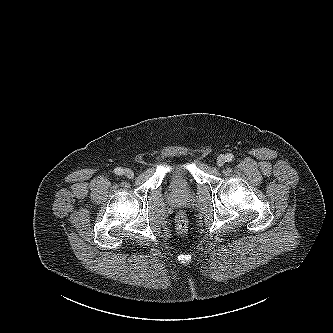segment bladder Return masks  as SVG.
I'll use <instances>...</instances> for the list:
<instances>
[{
  "instance_id": "31cf9c89",
  "label": "bladder",
  "mask_w": 333,
  "mask_h": 333,
  "mask_svg": "<svg viewBox=\"0 0 333 333\" xmlns=\"http://www.w3.org/2000/svg\"><path fill=\"white\" fill-rule=\"evenodd\" d=\"M189 177V171L185 167L177 166L172 173V186L176 189L184 188Z\"/></svg>"
}]
</instances>
